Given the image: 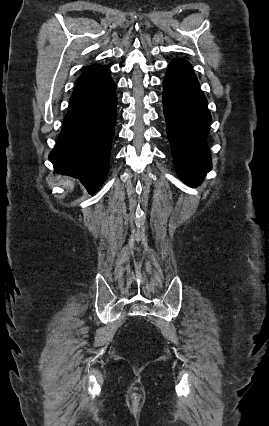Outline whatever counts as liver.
I'll return each instance as SVG.
<instances>
[{"label":"liver","instance_id":"obj_1","mask_svg":"<svg viewBox=\"0 0 269 426\" xmlns=\"http://www.w3.org/2000/svg\"><path fill=\"white\" fill-rule=\"evenodd\" d=\"M60 184H62L64 187L69 188V189H73L74 184L72 181H70L69 179H60Z\"/></svg>","mask_w":269,"mask_h":426}]
</instances>
